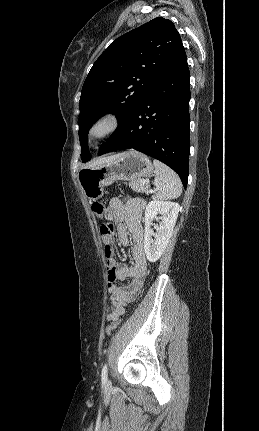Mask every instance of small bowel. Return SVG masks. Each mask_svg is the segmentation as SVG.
Here are the masks:
<instances>
[{
	"mask_svg": "<svg viewBox=\"0 0 259 431\" xmlns=\"http://www.w3.org/2000/svg\"><path fill=\"white\" fill-rule=\"evenodd\" d=\"M145 203L142 199H129L123 201L112 198L106 212V217L117 225L119 242L127 247L131 245L132 264L119 263L114 257L113 242H108V251H105L108 269V291L110 305L106 315L109 321L119 319L125 313V307L133 302L141 293L146 277L148 261L143 246L142 212ZM130 279L125 286L119 281Z\"/></svg>",
	"mask_w": 259,
	"mask_h": 431,
	"instance_id": "1",
	"label": "small bowel"
}]
</instances>
